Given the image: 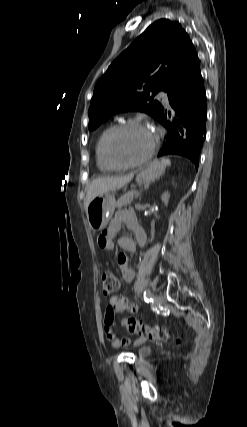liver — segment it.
Returning <instances> with one entry per match:
<instances>
[{"label":"liver","instance_id":"liver-1","mask_svg":"<svg viewBox=\"0 0 247 427\" xmlns=\"http://www.w3.org/2000/svg\"><path fill=\"white\" fill-rule=\"evenodd\" d=\"M134 174L131 173L127 176L121 177H103L93 180L87 189L85 199V209H87L90 202L99 194L109 191H114L123 187L125 184L131 181Z\"/></svg>","mask_w":247,"mask_h":427}]
</instances>
